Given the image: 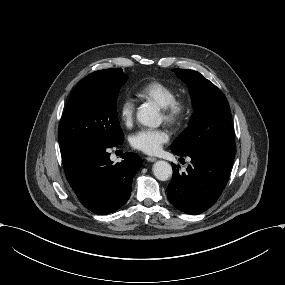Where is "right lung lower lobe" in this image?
<instances>
[{
	"label": "right lung lower lobe",
	"instance_id": "98d812e1",
	"mask_svg": "<svg viewBox=\"0 0 285 285\" xmlns=\"http://www.w3.org/2000/svg\"><path fill=\"white\" fill-rule=\"evenodd\" d=\"M108 148L91 145L61 152L66 178L78 199L90 211L103 215L126 203L133 177L142 165L138 155L127 152L122 155L124 160L112 165Z\"/></svg>",
	"mask_w": 285,
	"mask_h": 285
}]
</instances>
